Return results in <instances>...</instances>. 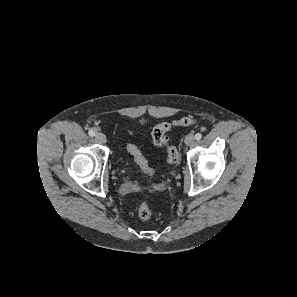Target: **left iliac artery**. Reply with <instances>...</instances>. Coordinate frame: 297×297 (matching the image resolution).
I'll return each instance as SVG.
<instances>
[{
    "instance_id": "left-iliac-artery-1",
    "label": "left iliac artery",
    "mask_w": 297,
    "mask_h": 297,
    "mask_svg": "<svg viewBox=\"0 0 297 297\" xmlns=\"http://www.w3.org/2000/svg\"><path fill=\"white\" fill-rule=\"evenodd\" d=\"M202 138V134L201 133H197L196 135H195V139L196 140H200Z\"/></svg>"
}]
</instances>
